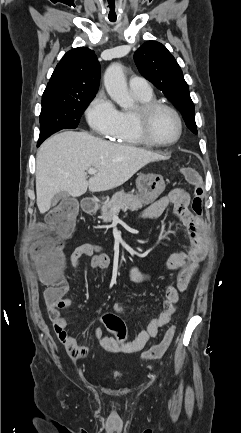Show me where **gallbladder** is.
<instances>
[{
    "label": "gallbladder",
    "mask_w": 241,
    "mask_h": 433,
    "mask_svg": "<svg viewBox=\"0 0 241 433\" xmlns=\"http://www.w3.org/2000/svg\"><path fill=\"white\" fill-rule=\"evenodd\" d=\"M69 200L70 207L67 209L68 213L75 217L78 214L79 211V202L76 199L70 198L69 194L65 191H61L57 193L51 200V205L55 206L59 200Z\"/></svg>",
    "instance_id": "gallbladder-1"
}]
</instances>
